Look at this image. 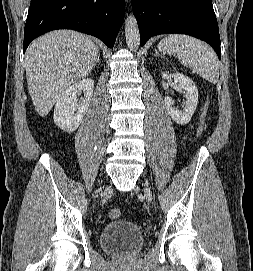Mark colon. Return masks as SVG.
Masks as SVG:
<instances>
[{
    "mask_svg": "<svg viewBox=\"0 0 253 271\" xmlns=\"http://www.w3.org/2000/svg\"><path fill=\"white\" fill-rule=\"evenodd\" d=\"M209 107H210L209 103L206 102L204 105V108H203L202 119H201V122H200V125L198 128L197 136H201L206 129L207 120H208V116H209ZM121 215H122V212L118 208L112 209L109 212V217L111 219H119L121 217Z\"/></svg>",
    "mask_w": 253,
    "mask_h": 271,
    "instance_id": "5ec220e1",
    "label": "colon"
}]
</instances>
